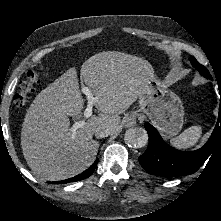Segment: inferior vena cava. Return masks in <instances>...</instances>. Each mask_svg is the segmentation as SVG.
<instances>
[{
    "label": "inferior vena cava",
    "mask_w": 221,
    "mask_h": 221,
    "mask_svg": "<svg viewBox=\"0 0 221 221\" xmlns=\"http://www.w3.org/2000/svg\"><path fill=\"white\" fill-rule=\"evenodd\" d=\"M112 134L111 128H97L95 130L96 138H104Z\"/></svg>",
    "instance_id": "1"
}]
</instances>
